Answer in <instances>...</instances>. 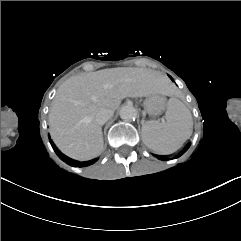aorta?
I'll use <instances>...</instances> for the list:
<instances>
[{
  "label": "aorta",
  "instance_id": "1",
  "mask_svg": "<svg viewBox=\"0 0 241 241\" xmlns=\"http://www.w3.org/2000/svg\"><path fill=\"white\" fill-rule=\"evenodd\" d=\"M120 117L124 121H133L137 117V110L132 105H125L120 110Z\"/></svg>",
  "mask_w": 241,
  "mask_h": 241
}]
</instances>
